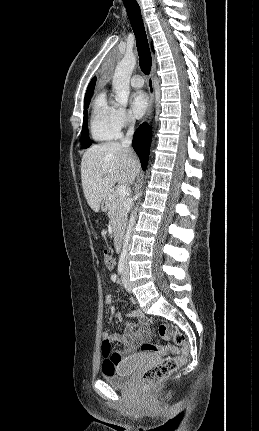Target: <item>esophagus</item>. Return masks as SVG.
<instances>
[{"label": "esophagus", "mask_w": 259, "mask_h": 431, "mask_svg": "<svg viewBox=\"0 0 259 431\" xmlns=\"http://www.w3.org/2000/svg\"><path fill=\"white\" fill-rule=\"evenodd\" d=\"M155 66H156V62L155 59L153 58L152 61V69H151V73L148 79V91H149V105H148V110H147V115H146V121H148L152 115L153 112V106H154V97H155V93H154V76H155Z\"/></svg>", "instance_id": "obj_1"}]
</instances>
